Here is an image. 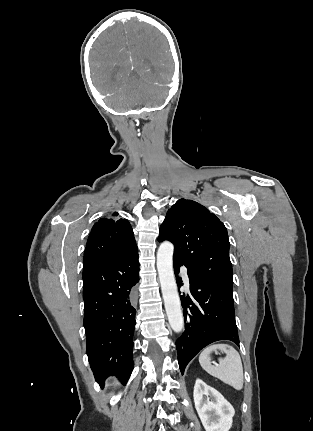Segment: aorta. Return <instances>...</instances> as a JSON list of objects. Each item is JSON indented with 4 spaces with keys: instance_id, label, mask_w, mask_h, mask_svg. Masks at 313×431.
I'll return each mask as SVG.
<instances>
[{
    "instance_id": "aorta-1",
    "label": "aorta",
    "mask_w": 313,
    "mask_h": 431,
    "mask_svg": "<svg viewBox=\"0 0 313 431\" xmlns=\"http://www.w3.org/2000/svg\"><path fill=\"white\" fill-rule=\"evenodd\" d=\"M173 251L174 246L171 242L165 241L160 244L157 252V270L169 324L174 332L179 333L184 328V318L173 271Z\"/></svg>"
}]
</instances>
